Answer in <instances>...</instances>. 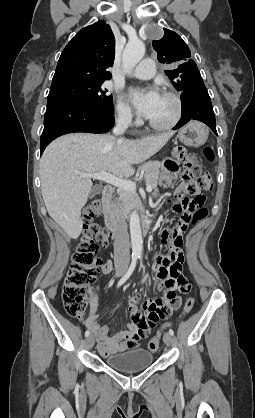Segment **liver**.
I'll return each mask as SVG.
<instances>
[{
    "mask_svg": "<svg viewBox=\"0 0 255 418\" xmlns=\"http://www.w3.org/2000/svg\"><path fill=\"white\" fill-rule=\"evenodd\" d=\"M167 132L129 140L109 134L72 133L54 140L40 160L42 197L48 214L72 239L82 231L81 209L92 182L78 173L134 174L139 164L157 153L173 136Z\"/></svg>",
    "mask_w": 255,
    "mask_h": 418,
    "instance_id": "obj_1",
    "label": "liver"
}]
</instances>
